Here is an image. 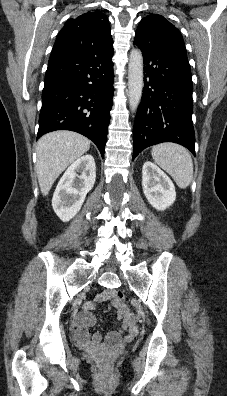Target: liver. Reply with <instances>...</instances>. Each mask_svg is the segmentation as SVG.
Returning a JSON list of instances; mask_svg holds the SVG:
<instances>
[{"instance_id": "6515ba94", "label": "liver", "mask_w": 227, "mask_h": 396, "mask_svg": "<svg viewBox=\"0 0 227 396\" xmlns=\"http://www.w3.org/2000/svg\"><path fill=\"white\" fill-rule=\"evenodd\" d=\"M90 148V140L71 131H55L37 143L36 173L44 196L58 176Z\"/></svg>"}]
</instances>
